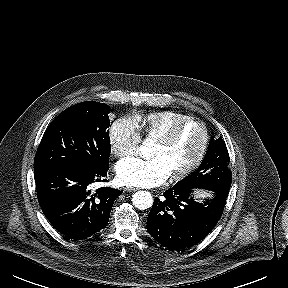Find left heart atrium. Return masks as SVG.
Returning <instances> with one entry per match:
<instances>
[{
  "label": "left heart atrium",
  "mask_w": 288,
  "mask_h": 288,
  "mask_svg": "<svg viewBox=\"0 0 288 288\" xmlns=\"http://www.w3.org/2000/svg\"><path fill=\"white\" fill-rule=\"evenodd\" d=\"M116 175L122 185L154 187L164 183L170 171L160 156L149 159L127 157L117 163Z\"/></svg>",
  "instance_id": "obj_1"
}]
</instances>
